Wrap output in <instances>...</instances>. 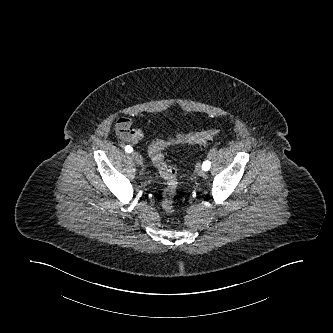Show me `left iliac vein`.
<instances>
[{
    "mask_svg": "<svg viewBox=\"0 0 333 333\" xmlns=\"http://www.w3.org/2000/svg\"><path fill=\"white\" fill-rule=\"evenodd\" d=\"M196 173L198 174V176H203L205 174V172L202 169V166L200 164L196 165Z\"/></svg>",
    "mask_w": 333,
    "mask_h": 333,
    "instance_id": "1",
    "label": "left iliac vein"
}]
</instances>
